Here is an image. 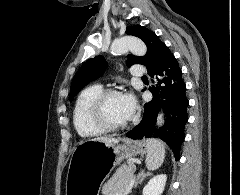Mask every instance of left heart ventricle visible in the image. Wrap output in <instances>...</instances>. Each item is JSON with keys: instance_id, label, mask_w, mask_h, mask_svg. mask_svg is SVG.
Masks as SVG:
<instances>
[{"instance_id": "obj_1", "label": "left heart ventricle", "mask_w": 240, "mask_h": 195, "mask_svg": "<svg viewBox=\"0 0 240 195\" xmlns=\"http://www.w3.org/2000/svg\"><path fill=\"white\" fill-rule=\"evenodd\" d=\"M107 115L114 124L128 123V118L123 105L122 97H113L107 104Z\"/></svg>"}]
</instances>
